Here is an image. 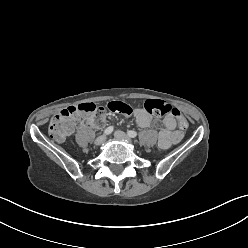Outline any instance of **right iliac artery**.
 <instances>
[{"label":"right iliac artery","instance_id":"1","mask_svg":"<svg viewBox=\"0 0 248 248\" xmlns=\"http://www.w3.org/2000/svg\"><path fill=\"white\" fill-rule=\"evenodd\" d=\"M113 126H109L108 128L105 129L104 134L109 135L113 132Z\"/></svg>","mask_w":248,"mask_h":248}]
</instances>
